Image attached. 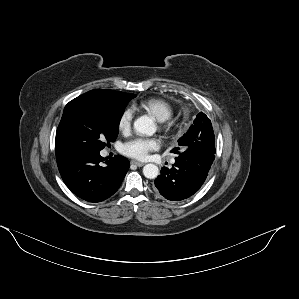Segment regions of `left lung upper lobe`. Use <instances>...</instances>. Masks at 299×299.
<instances>
[{
  "label": "left lung upper lobe",
  "mask_w": 299,
  "mask_h": 299,
  "mask_svg": "<svg viewBox=\"0 0 299 299\" xmlns=\"http://www.w3.org/2000/svg\"><path fill=\"white\" fill-rule=\"evenodd\" d=\"M173 153L186 158L200 159L209 166L215 158V136L210 119L200 112L189 130L178 140Z\"/></svg>",
  "instance_id": "1"
}]
</instances>
